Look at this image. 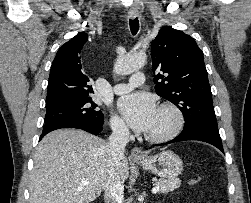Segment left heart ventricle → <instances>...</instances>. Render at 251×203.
<instances>
[{
	"instance_id": "1",
	"label": "left heart ventricle",
	"mask_w": 251,
	"mask_h": 203,
	"mask_svg": "<svg viewBox=\"0 0 251 203\" xmlns=\"http://www.w3.org/2000/svg\"><path fill=\"white\" fill-rule=\"evenodd\" d=\"M173 124V117L169 112L157 111L154 123L150 130L147 132L149 134H160L168 131Z\"/></svg>"
}]
</instances>
